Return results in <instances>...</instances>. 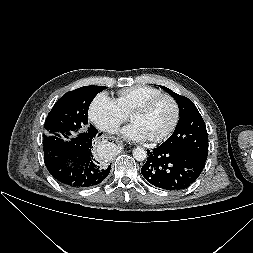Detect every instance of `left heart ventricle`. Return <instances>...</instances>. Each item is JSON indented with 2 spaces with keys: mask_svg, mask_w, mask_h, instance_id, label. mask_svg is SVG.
Wrapping results in <instances>:
<instances>
[{
  "mask_svg": "<svg viewBox=\"0 0 253 253\" xmlns=\"http://www.w3.org/2000/svg\"><path fill=\"white\" fill-rule=\"evenodd\" d=\"M174 118V108L170 100L164 98L156 102L145 114L133 118L132 122L141 126L150 138L163 134Z\"/></svg>",
  "mask_w": 253,
  "mask_h": 253,
  "instance_id": "1",
  "label": "left heart ventricle"
}]
</instances>
